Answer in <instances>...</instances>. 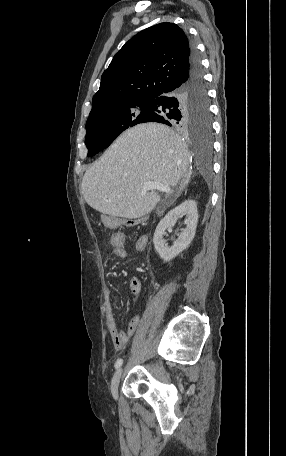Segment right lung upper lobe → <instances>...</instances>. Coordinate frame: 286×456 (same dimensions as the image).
Listing matches in <instances>:
<instances>
[{"label": "right lung upper lobe", "mask_w": 286, "mask_h": 456, "mask_svg": "<svg viewBox=\"0 0 286 456\" xmlns=\"http://www.w3.org/2000/svg\"><path fill=\"white\" fill-rule=\"evenodd\" d=\"M192 47L184 31L174 23H160L136 34L102 74L89 116L117 102L150 99L185 82Z\"/></svg>", "instance_id": "cb5924a9"}]
</instances>
